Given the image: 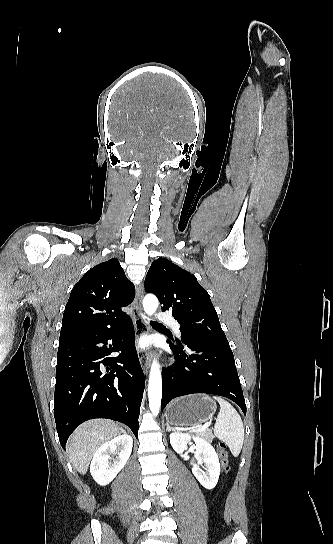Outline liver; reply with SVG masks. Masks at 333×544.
<instances>
[{"instance_id": "liver-1", "label": "liver", "mask_w": 333, "mask_h": 544, "mask_svg": "<svg viewBox=\"0 0 333 544\" xmlns=\"http://www.w3.org/2000/svg\"><path fill=\"white\" fill-rule=\"evenodd\" d=\"M119 433V426L109 420H91L83 423L74 431L68 441L72 466L80 474H86L90 461L99 447Z\"/></svg>"}]
</instances>
